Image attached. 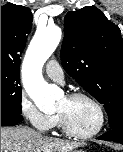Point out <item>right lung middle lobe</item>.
I'll list each match as a JSON object with an SVG mask.
<instances>
[{
  "mask_svg": "<svg viewBox=\"0 0 123 152\" xmlns=\"http://www.w3.org/2000/svg\"><path fill=\"white\" fill-rule=\"evenodd\" d=\"M18 71L1 70V111L21 114V93Z\"/></svg>",
  "mask_w": 123,
  "mask_h": 152,
  "instance_id": "dd1d6c3e",
  "label": "right lung middle lobe"
}]
</instances>
